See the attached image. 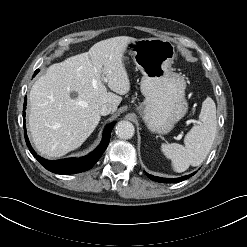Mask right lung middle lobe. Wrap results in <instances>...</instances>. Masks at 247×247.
I'll return each mask as SVG.
<instances>
[{"mask_svg": "<svg viewBox=\"0 0 247 247\" xmlns=\"http://www.w3.org/2000/svg\"><path fill=\"white\" fill-rule=\"evenodd\" d=\"M39 70H36L35 73H38Z\"/></svg>", "mask_w": 247, "mask_h": 247, "instance_id": "right-lung-middle-lobe-1", "label": "right lung middle lobe"}]
</instances>
